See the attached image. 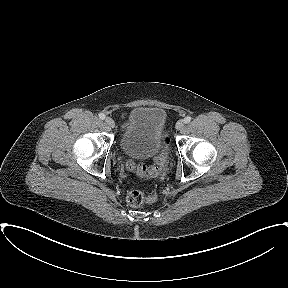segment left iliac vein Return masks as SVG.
<instances>
[{
    "label": "left iliac vein",
    "instance_id": "1",
    "mask_svg": "<svg viewBox=\"0 0 288 288\" xmlns=\"http://www.w3.org/2000/svg\"><path fill=\"white\" fill-rule=\"evenodd\" d=\"M184 127V121L183 120H179L177 123H176V129L177 130H182Z\"/></svg>",
    "mask_w": 288,
    "mask_h": 288
}]
</instances>
